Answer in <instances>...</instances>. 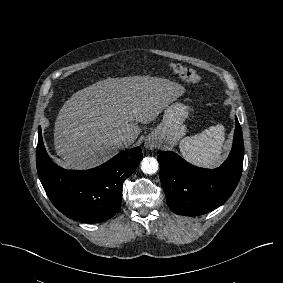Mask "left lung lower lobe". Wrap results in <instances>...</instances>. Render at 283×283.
I'll use <instances>...</instances> for the list:
<instances>
[{
	"label": "left lung lower lobe",
	"instance_id": "obj_1",
	"mask_svg": "<svg viewBox=\"0 0 283 283\" xmlns=\"http://www.w3.org/2000/svg\"><path fill=\"white\" fill-rule=\"evenodd\" d=\"M243 156V136L237 117L230 155L216 169L198 168L174 152L159 151L160 181L169 208L176 214L198 216L222 205L239 182Z\"/></svg>",
	"mask_w": 283,
	"mask_h": 283
}]
</instances>
